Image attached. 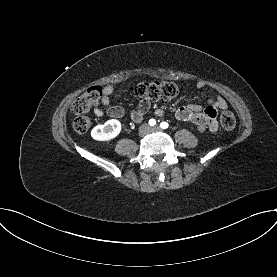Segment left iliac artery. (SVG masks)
I'll return each instance as SVG.
<instances>
[{
  "label": "left iliac artery",
  "instance_id": "left-iliac-artery-1",
  "mask_svg": "<svg viewBox=\"0 0 277 277\" xmlns=\"http://www.w3.org/2000/svg\"><path fill=\"white\" fill-rule=\"evenodd\" d=\"M168 123L167 122H162L161 124H160V127L162 128V129H166V128H168Z\"/></svg>",
  "mask_w": 277,
  "mask_h": 277
}]
</instances>
